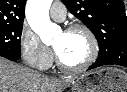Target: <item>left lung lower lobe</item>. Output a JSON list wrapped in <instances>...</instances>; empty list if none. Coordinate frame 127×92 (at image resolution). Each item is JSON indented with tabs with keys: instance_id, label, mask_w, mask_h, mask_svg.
Here are the masks:
<instances>
[{
	"instance_id": "obj_1",
	"label": "left lung lower lobe",
	"mask_w": 127,
	"mask_h": 92,
	"mask_svg": "<svg viewBox=\"0 0 127 92\" xmlns=\"http://www.w3.org/2000/svg\"><path fill=\"white\" fill-rule=\"evenodd\" d=\"M109 64L127 67V44L114 45L103 54H99L96 62L88 70Z\"/></svg>"
}]
</instances>
